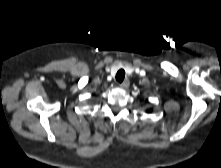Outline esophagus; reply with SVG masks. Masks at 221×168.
<instances>
[{"label": "esophagus", "instance_id": "34e87169", "mask_svg": "<svg viewBox=\"0 0 221 168\" xmlns=\"http://www.w3.org/2000/svg\"><path fill=\"white\" fill-rule=\"evenodd\" d=\"M121 88L126 89L129 86V80L123 81L120 85Z\"/></svg>", "mask_w": 221, "mask_h": 168}]
</instances>
